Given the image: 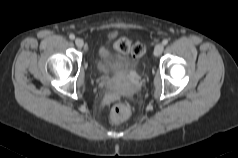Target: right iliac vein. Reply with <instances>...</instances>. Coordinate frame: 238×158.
<instances>
[{
  "label": "right iliac vein",
  "mask_w": 238,
  "mask_h": 158,
  "mask_svg": "<svg viewBox=\"0 0 238 158\" xmlns=\"http://www.w3.org/2000/svg\"><path fill=\"white\" fill-rule=\"evenodd\" d=\"M75 44H76V46H77L78 48H82L83 45H84V42H83V40H82L81 38H76V39H75Z\"/></svg>",
  "instance_id": "obj_1"
}]
</instances>
